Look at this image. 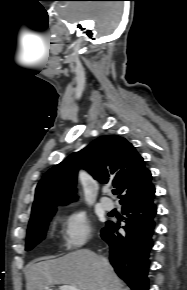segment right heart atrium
Listing matches in <instances>:
<instances>
[{
	"label": "right heart atrium",
	"instance_id": "right-heart-atrium-1",
	"mask_svg": "<svg viewBox=\"0 0 187 290\" xmlns=\"http://www.w3.org/2000/svg\"><path fill=\"white\" fill-rule=\"evenodd\" d=\"M91 233V223L85 212L74 210L62 216V237L67 249L82 247L90 239Z\"/></svg>",
	"mask_w": 187,
	"mask_h": 290
}]
</instances>
